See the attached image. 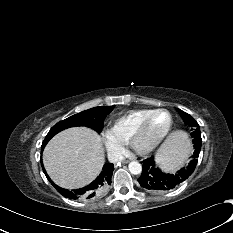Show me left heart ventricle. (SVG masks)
<instances>
[{
    "instance_id": "1",
    "label": "left heart ventricle",
    "mask_w": 233,
    "mask_h": 233,
    "mask_svg": "<svg viewBox=\"0 0 233 233\" xmlns=\"http://www.w3.org/2000/svg\"><path fill=\"white\" fill-rule=\"evenodd\" d=\"M168 115L165 112L156 113L150 120L144 135L140 141L141 145H146L156 138L164 131L168 123Z\"/></svg>"
}]
</instances>
